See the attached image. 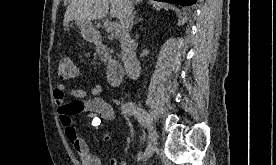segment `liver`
I'll use <instances>...</instances> for the list:
<instances>
[{
	"instance_id": "6515ba94",
	"label": "liver",
	"mask_w": 276,
	"mask_h": 165,
	"mask_svg": "<svg viewBox=\"0 0 276 165\" xmlns=\"http://www.w3.org/2000/svg\"><path fill=\"white\" fill-rule=\"evenodd\" d=\"M142 2V0H136ZM124 0H72L68 5L63 25L70 21H93L103 19L109 12L113 18H119Z\"/></svg>"
}]
</instances>
